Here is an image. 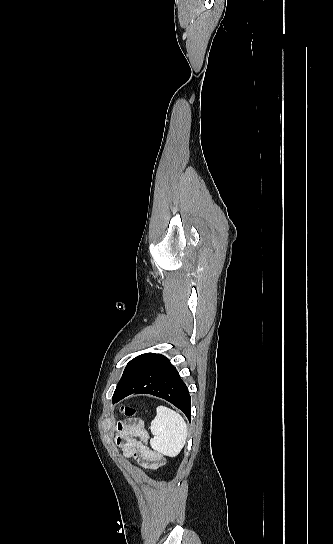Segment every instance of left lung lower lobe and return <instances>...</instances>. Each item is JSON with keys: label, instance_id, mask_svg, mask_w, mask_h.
I'll return each mask as SVG.
<instances>
[{"label": "left lung lower lobe", "instance_id": "left-lung-lower-lobe-1", "mask_svg": "<svg viewBox=\"0 0 333 544\" xmlns=\"http://www.w3.org/2000/svg\"><path fill=\"white\" fill-rule=\"evenodd\" d=\"M133 394H151L178 407L191 421V397L185 383L169 359L155 354L132 380L114 392L113 403Z\"/></svg>", "mask_w": 333, "mask_h": 544}]
</instances>
